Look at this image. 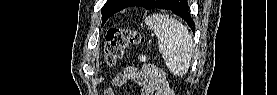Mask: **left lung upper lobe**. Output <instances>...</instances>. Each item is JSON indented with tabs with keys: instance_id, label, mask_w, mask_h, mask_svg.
I'll return each mask as SVG.
<instances>
[{
	"instance_id": "obj_1",
	"label": "left lung upper lobe",
	"mask_w": 277,
	"mask_h": 95,
	"mask_svg": "<svg viewBox=\"0 0 277 95\" xmlns=\"http://www.w3.org/2000/svg\"><path fill=\"white\" fill-rule=\"evenodd\" d=\"M134 0H107L102 8V25L106 20L112 16L114 13L128 7ZM164 0H150V5L148 9L159 7ZM181 0H176V5H178Z\"/></svg>"
}]
</instances>
